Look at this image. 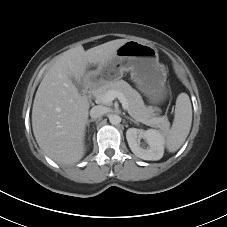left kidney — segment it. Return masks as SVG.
I'll return each mask as SVG.
<instances>
[{
	"label": "left kidney",
	"mask_w": 227,
	"mask_h": 227,
	"mask_svg": "<svg viewBox=\"0 0 227 227\" xmlns=\"http://www.w3.org/2000/svg\"><path fill=\"white\" fill-rule=\"evenodd\" d=\"M140 138L146 139L149 145L147 149L140 146ZM126 139L131 151L143 160L156 161L163 157L165 140L163 133L158 130L149 129L144 131L129 128L126 132Z\"/></svg>",
	"instance_id": "1"
}]
</instances>
